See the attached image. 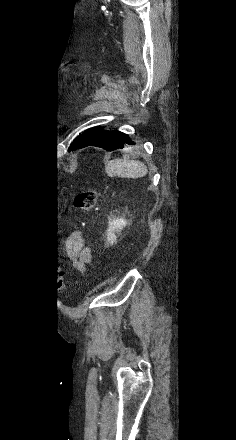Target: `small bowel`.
Here are the masks:
<instances>
[{
  "instance_id": "obj_1",
  "label": "small bowel",
  "mask_w": 236,
  "mask_h": 440,
  "mask_svg": "<svg viewBox=\"0 0 236 440\" xmlns=\"http://www.w3.org/2000/svg\"><path fill=\"white\" fill-rule=\"evenodd\" d=\"M67 252L72 258V268L77 272L83 273L92 262L91 249L85 244L79 229H75L70 235Z\"/></svg>"
}]
</instances>
